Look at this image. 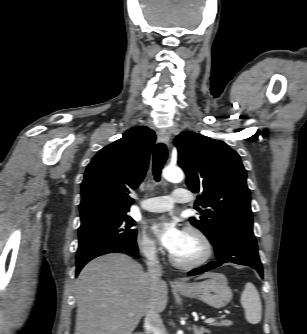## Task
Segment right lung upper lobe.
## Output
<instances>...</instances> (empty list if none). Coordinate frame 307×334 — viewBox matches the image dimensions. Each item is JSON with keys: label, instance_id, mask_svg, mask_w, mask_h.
<instances>
[{"label": "right lung upper lobe", "instance_id": "cb5924a9", "mask_svg": "<svg viewBox=\"0 0 307 334\" xmlns=\"http://www.w3.org/2000/svg\"><path fill=\"white\" fill-rule=\"evenodd\" d=\"M156 136L147 127L127 130L100 150L87 166L82 182L81 217L102 212L128 213L129 196L142 182Z\"/></svg>", "mask_w": 307, "mask_h": 334}]
</instances>
